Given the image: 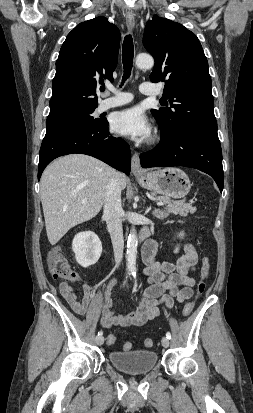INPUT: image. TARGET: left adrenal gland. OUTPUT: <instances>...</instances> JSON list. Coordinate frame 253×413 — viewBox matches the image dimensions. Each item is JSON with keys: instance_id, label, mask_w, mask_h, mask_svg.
Listing matches in <instances>:
<instances>
[{"instance_id": "1", "label": "left adrenal gland", "mask_w": 253, "mask_h": 413, "mask_svg": "<svg viewBox=\"0 0 253 413\" xmlns=\"http://www.w3.org/2000/svg\"><path fill=\"white\" fill-rule=\"evenodd\" d=\"M151 209V207L149 208V210ZM152 214L158 218V219H163L166 215L163 211H161L160 209H155Z\"/></svg>"}]
</instances>
